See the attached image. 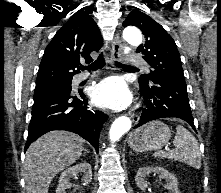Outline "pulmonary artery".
I'll use <instances>...</instances> for the list:
<instances>
[{
    "label": "pulmonary artery",
    "instance_id": "obj_1",
    "mask_svg": "<svg viewBox=\"0 0 221 193\" xmlns=\"http://www.w3.org/2000/svg\"><path fill=\"white\" fill-rule=\"evenodd\" d=\"M130 62L132 64H134V65L140 66L146 72L149 71V66L138 55H132L130 57ZM97 75H98L97 73H93V74L82 73V74H79V75L75 76L72 83H73L74 86H77L82 81H84L86 79H90V78L96 77Z\"/></svg>",
    "mask_w": 221,
    "mask_h": 193
}]
</instances>
